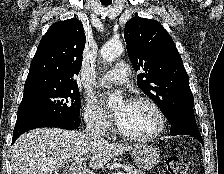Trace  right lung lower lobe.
<instances>
[{
    "label": "right lung lower lobe",
    "instance_id": "1",
    "mask_svg": "<svg viewBox=\"0 0 224 174\" xmlns=\"http://www.w3.org/2000/svg\"><path fill=\"white\" fill-rule=\"evenodd\" d=\"M80 118L56 119L36 114H23L17 117L13 132L12 144L24 132L40 127H57L67 130H74L79 127Z\"/></svg>",
    "mask_w": 224,
    "mask_h": 174
}]
</instances>
